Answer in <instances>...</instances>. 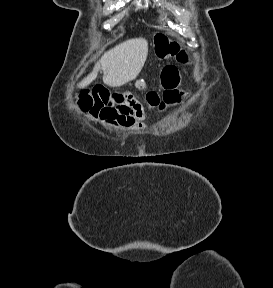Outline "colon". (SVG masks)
<instances>
[{"mask_svg":"<svg viewBox=\"0 0 273 288\" xmlns=\"http://www.w3.org/2000/svg\"><path fill=\"white\" fill-rule=\"evenodd\" d=\"M156 52L160 58H174L181 63L189 61L188 53L164 35L156 37ZM162 94L147 95L148 105L153 109L165 110L181 104L186 92L180 87V75L175 66H166L161 72ZM81 110L95 119L105 120L117 126H131L138 116V105L132 104L122 94L111 92L102 85L94 87L79 98Z\"/></svg>","mask_w":273,"mask_h":288,"instance_id":"obj_1","label":"colon"}]
</instances>
